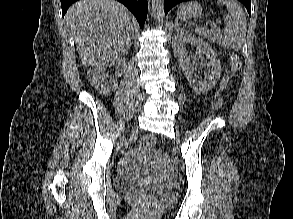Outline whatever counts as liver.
Masks as SVG:
<instances>
[{"label":"liver","instance_id":"obj_1","mask_svg":"<svg viewBox=\"0 0 293 219\" xmlns=\"http://www.w3.org/2000/svg\"><path fill=\"white\" fill-rule=\"evenodd\" d=\"M65 22L85 67H89L96 57H119L130 50V13L119 2L81 0L68 9Z\"/></svg>","mask_w":293,"mask_h":219}]
</instances>
